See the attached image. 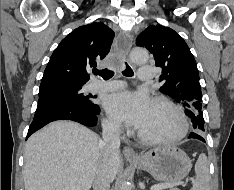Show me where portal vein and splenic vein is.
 Wrapping results in <instances>:
<instances>
[{"mask_svg":"<svg viewBox=\"0 0 234 190\" xmlns=\"http://www.w3.org/2000/svg\"><path fill=\"white\" fill-rule=\"evenodd\" d=\"M174 185H177L176 183H164V184H158V185H153L150 190H162V189H168L172 188Z\"/></svg>","mask_w":234,"mask_h":190,"instance_id":"18ae733b","label":"portal vein and splenic vein"}]
</instances>
